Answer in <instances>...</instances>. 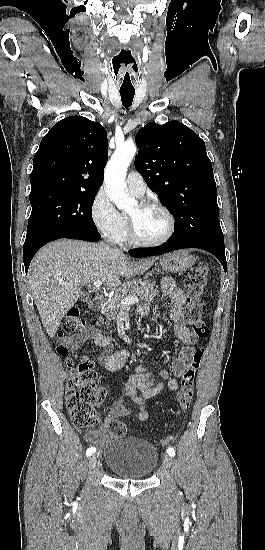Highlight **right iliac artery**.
<instances>
[{"label": "right iliac artery", "instance_id": "right-iliac-artery-1", "mask_svg": "<svg viewBox=\"0 0 265 550\" xmlns=\"http://www.w3.org/2000/svg\"><path fill=\"white\" fill-rule=\"evenodd\" d=\"M96 452V448L95 447H89L86 451V455L87 457L91 456L92 454H94Z\"/></svg>", "mask_w": 265, "mask_h": 550}]
</instances>
